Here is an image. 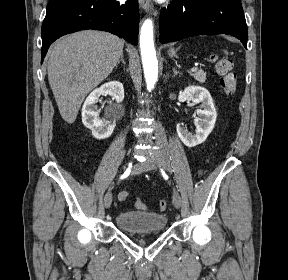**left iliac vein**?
<instances>
[{
    "label": "left iliac vein",
    "instance_id": "4c4485c4",
    "mask_svg": "<svg viewBox=\"0 0 288 280\" xmlns=\"http://www.w3.org/2000/svg\"><path fill=\"white\" fill-rule=\"evenodd\" d=\"M160 165H162L163 167H167L168 166V162L165 159H152L149 158L147 161L141 163V168H143L144 170H155L157 169ZM172 201L173 204L176 208H180L181 206V197L180 195L175 196L173 193V197H172Z\"/></svg>",
    "mask_w": 288,
    "mask_h": 280
}]
</instances>
